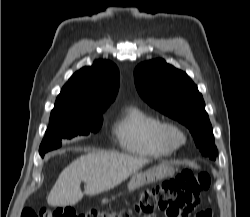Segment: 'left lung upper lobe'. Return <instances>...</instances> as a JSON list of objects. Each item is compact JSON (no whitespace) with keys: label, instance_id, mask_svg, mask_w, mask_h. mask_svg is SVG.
I'll list each match as a JSON object with an SVG mask.
<instances>
[{"label":"left lung upper lobe","instance_id":"left-lung-upper-lobe-1","mask_svg":"<svg viewBox=\"0 0 250 217\" xmlns=\"http://www.w3.org/2000/svg\"><path fill=\"white\" fill-rule=\"evenodd\" d=\"M135 85L150 106L189 128L202 155L216 159L218 151L203 97L185 72L163 59L143 62L135 69Z\"/></svg>","mask_w":250,"mask_h":217}]
</instances>
